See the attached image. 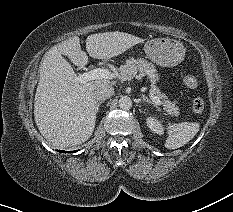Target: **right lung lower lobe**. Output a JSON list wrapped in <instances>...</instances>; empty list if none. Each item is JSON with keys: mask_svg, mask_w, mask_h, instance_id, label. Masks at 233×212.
<instances>
[{"mask_svg": "<svg viewBox=\"0 0 233 212\" xmlns=\"http://www.w3.org/2000/svg\"><path fill=\"white\" fill-rule=\"evenodd\" d=\"M60 152H64V151L61 150ZM73 152H76V151H73Z\"/></svg>", "mask_w": 233, "mask_h": 212, "instance_id": "right-lung-lower-lobe-1", "label": "right lung lower lobe"}]
</instances>
